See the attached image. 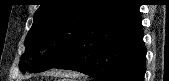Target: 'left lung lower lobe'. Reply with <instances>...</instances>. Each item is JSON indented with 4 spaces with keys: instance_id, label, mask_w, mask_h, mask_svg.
<instances>
[{
    "instance_id": "left-lung-lower-lobe-1",
    "label": "left lung lower lobe",
    "mask_w": 169,
    "mask_h": 81,
    "mask_svg": "<svg viewBox=\"0 0 169 81\" xmlns=\"http://www.w3.org/2000/svg\"><path fill=\"white\" fill-rule=\"evenodd\" d=\"M146 48L136 0H114L82 32L69 57L54 68L101 81H143Z\"/></svg>"
}]
</instances>
